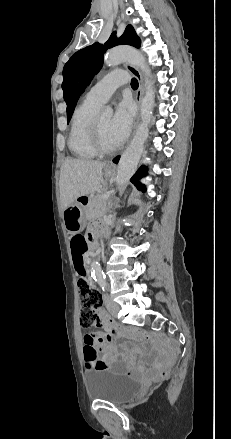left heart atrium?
Instances as JSON below:
<instances>
[{
	"mask_svg": "<svg viewBox=\"0 0 231 439\" xmlns=\"http://www.w3.org/2000/svg\"><path fill=\"white\" fill-rule=\"evenodd\" d=\"M132 123L131 105L127 101L120 102L110 123V133L116 145L123 143L127 139Z\"/></svg>",
	"mask_w": 231,
	"mask_h": 439,
	"instance_id": "left-heart-atrium-1",
	"label": "left heart atrium"
}]
</instances>
